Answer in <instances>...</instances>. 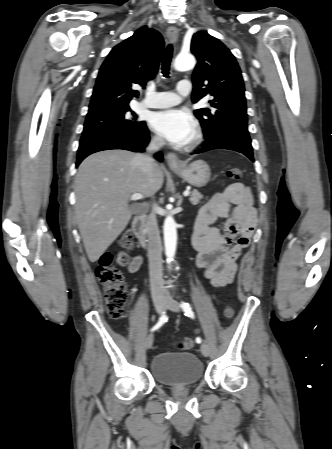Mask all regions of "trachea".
Masks as SVG:
<instances>
[{
    "label": "trachea",
    "instance_id": "trachea-1",
    "mask_svg": "<svg viewBox=\"0 0 332 449\" xmlns=\"http://www.w3.org/2000/svg\"><path fill=\"white\" fill-rule=\"evenodd\" d=\"M172 54H173V47L172 45H169L165 50L162 61V73L166 78L169 76Z\"/></svg>",
    "mask_w": 332,
    "mask_h": 449
}]
</instances>
